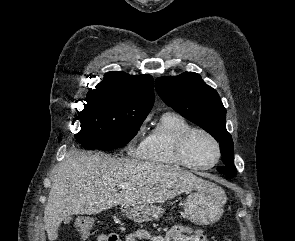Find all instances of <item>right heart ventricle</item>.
Listing matches in <instances>:
<instances>
[{"label":"right heart ventricle","mask_w":295,"mask_h":241,"mask_svg":"<svg viewBox=\"0 0 295 241\" xmlns=\"http://www.w3.org/2000/svg\"><path fill=\"white\" fill-rule=\"evenodd\" d=\"M190 128L192 125L181 114L172 111L163 113L140 144L137 156L156 165L179 166L181 163L175 154L176 143Z\"/></svg>","instance_id":"e07e8e85"}]
</instances>
